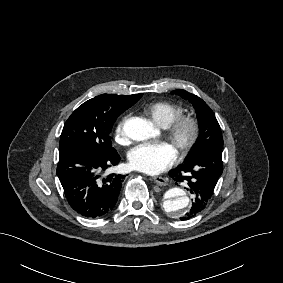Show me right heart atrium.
<instances>
[{"instance_id":"right-heart-atrium-1","label":"right heart atrium","mask_w":283,"mask_h":283,"mask_svg":"<svg viewBox=\"0 0 283 283\" xmlns=\"http://www.w3.org/2000/svg\"><path fill=\"white\" fill-rule=\"evenodd\" d=\"M127 119V116H124L116 125L114 129V138L115 141L121 145H125L128 143L129 139L124 131V124Z\"/></svg>"}]
</instances>
